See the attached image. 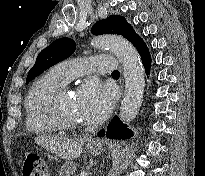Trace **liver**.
<instances>
[{"label":"liver","mask_w":205,"mask_h":176,"mask_svg":"<svg viewBox=\"0 0 205 176\" xmlns=\"http://www.w3.org/2000/svg\"><path fill=\"white\" fill-rule=\"evenodd\" d=\"M35 142L67 160L78 158L83 151L84 145V139L70 140L57 136H38Z\"/></svg>","instance_id":"obj_1"}]
</instances>
